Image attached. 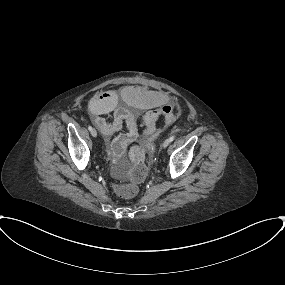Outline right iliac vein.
<instances>
[{"instance_id": "obj_1", "label": "right iliac vein", "mask_w": 285, "mask_h": 285, "mask_svg": "<svg viewBox=\"0 0 285 285\" xmlns=\"http://www.w3.org/2000/svg\"><path fill=\"white\" fill-rule=\"evenodd\" d=\"M91 135H92L93 137H96V136H97V131H96L95 129H92V130H91Z\"/></svg>"}]
</instances>
